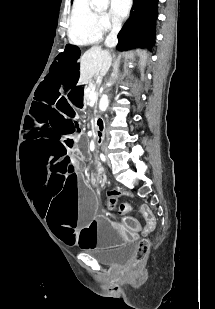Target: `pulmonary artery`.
<instances>
[{
  "label": "pulmonary artery",
  "mask_w": 215,
  "mask_h": 309,
  "mask_svg": "<svg viewBox=\"0 0 215 309\" xmlns=\"http://www.w3.org/2000/svg\"><path fill=\"white\" fill-rule=\"evenodd\" d=\"M90 3L87 0H76L74 5V16H87Z\"/></svg>",
  "instance_id": "pulmonary-artery-1"
}]
</instances>
